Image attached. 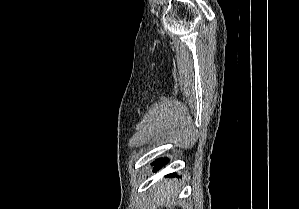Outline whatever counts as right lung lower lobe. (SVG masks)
Listing matches in <instances>:
<instances>
[{
    "mask_svg": "<svg viewBox=\"0 0 299 209\" xmlns=\"http://www.w3.org/2000/svg\"><path fill=\"white\" fill-rule=\"evenodd\" d=\"M167 162H168L167 159H160V160L155 161V163H153L155 165L154 171L156 172L157 170H159L160 168H162ZM167 176L168 177H174V176H176V173L169 174Z\"/></svg>",
    "mask_w": 299,
    "mask_h": 209,
    "instance_id": "right-lung-lower-lobe-1",
    "label": "right lung lower lobe"
}]
</instances>
